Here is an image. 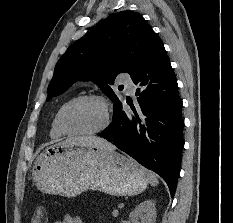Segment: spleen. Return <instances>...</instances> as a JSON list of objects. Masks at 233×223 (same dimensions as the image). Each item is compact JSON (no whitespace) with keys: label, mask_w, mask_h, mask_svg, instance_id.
<instances>
[{"label":"spleen","mask_w":233,"mask_h":223,"mask_svg":"<svg viewBox=\"0 0 233 223\" xmlns=\"http://www.w3.org/2000/svg\"><path fill=\"white\" fill-rule=\"evenodd\" d=\"M147 177L149 179V183H151V185H157V183H159L158 181V177L157 175H155V173H147Z\"/></svg>","instance_id":"3e777b00"}]
</instances>
